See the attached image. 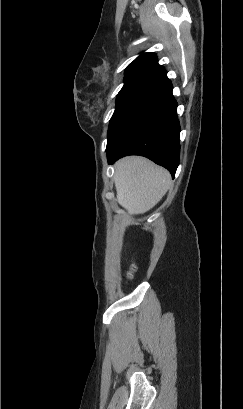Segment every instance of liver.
<instances>
[{
  "label": "liver",
  "instance_id": "liver-1",
  "mask_svg": "<svg viewBox=\"0 0 243 409\" xmlns=\"http://www.w3.org/2000/svg\"><path fill=\"white\" fill-rule=\"evenodd\" d=\"M114 182L117 202L130 215L144 214L166 194L170 173L150 160L128 156L115 164Z\"/></svg>",
  "mask_w": 243,
  "mask_h": 409
}]
</instances>
